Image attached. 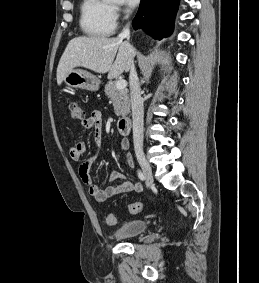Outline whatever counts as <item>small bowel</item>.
<instances>
[{"mask_svg": "<svg viewBox=\"0 0 259 283\" xmlns=\"http://www.w3.org/2000/svg\"><path fill=\"white\" fill-rule=\"evenodd\" d=\"M82 126L93 132V139L97 147L101 145L102 141V113L94 110L88 117L82 121ZM120 149L125 154V162L129 167H134V160L128 153L129 142L122 138L119 142ZM86 151V144L84 142H77L69 150V156L73 161H80L82 155ZM97 158V153L93 154L78 165V174L81 181L86 185L88 193L94 197L98 202H104L111 197L125 192L140 193L143 191V186L139 182H133L126 179L123 173L113 171L109 175V181L112 183L105 189L99 188L94 182L91 169ZM121 180V183H116Z\"/></svg>", "mask_w": 259, "mask_h": 283, "instance_id": "1", "label": "small bowel"}]
</instances>
